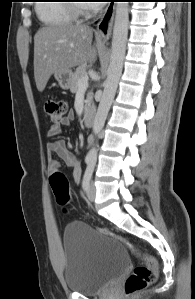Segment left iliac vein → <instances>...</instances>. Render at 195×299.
<instances>
[{
    "label": "left iliac vein",
    "mask_w": 195,
    "mask_h": 299,
    "mask_svg": "<svg viewBox=\"0 0 195 299\" xmlns=\"http://www.w3.org/2000/svg\"><path fill=\"white\" fill-rule=\"evenodd\" d=\"M87 197L88 199L93 202L95 200L96 197V186L94 185L93 182H91L89 184V188L87 190Z\"/></svg>",
    "instance_id": "1"
}]
</instances>
